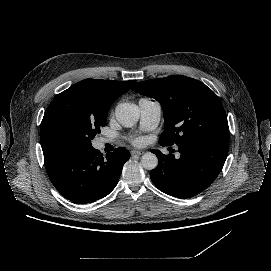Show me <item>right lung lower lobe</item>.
<instances>
[{"label": "right lung lower lobe", "mask_w": 271, "mask_h": 271, "mask_svg": "<svg viewBox=\"0 0 271 271\" xmlns=\"http://www.w3.org/2000/svg\"><path fill=\"white\" fill-rule=\"evenodd\" d=\"M47 174L58 192L75 203L107 196L117 185L130 153L117 148L106 157L92 146H61L43 151Z\"/></svg>", "instance_id": "98d812e1"}]
</instances>
